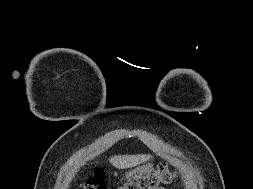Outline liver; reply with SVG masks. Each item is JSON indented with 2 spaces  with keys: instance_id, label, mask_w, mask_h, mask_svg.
I'll return each mask as SVG.
<instances>
[{
  "instance_id": "obj_1",
  "label": "liver",
  "mask_w": 253,
  "mask_h": 189,
  "mask_svg": "<svg viewBox=\"0 0 253 189\" xmlns=\"http://www.w3.org/2000/svg\"><path fill=\"white\" fill-rule=\"evenodd\" d=\"M151 158L150 155H118L110 158L111 164L119 169L137 166Z\"/></svg>"
}]
</instances>
